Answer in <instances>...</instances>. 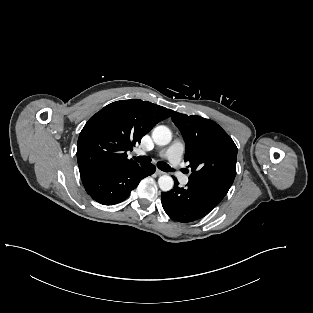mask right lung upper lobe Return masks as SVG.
<instances>
[{
  "label": "right lung upper lobe",
  "mask_w": 313,
  "mask_h": 313,
  "mask_svg": "<svg viewBox=\"0 0 313 313\" xmlns=\"http://www.w3.org/2000/svg\"><path fill=\"white\" fill-rule=\"evenodd\" d=\"M169 116L167 108L140 99L116 101L105 106L89 119L79 135L80 175L138 165L127 158V151Z\"/></svg>",
  "instance_id": "obj_1"
}]
</instances>
